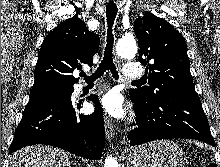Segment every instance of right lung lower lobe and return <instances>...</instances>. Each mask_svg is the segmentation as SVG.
I'll return each mask as SVG.
<instances>
[{"mask_svg":"<svg viewBox=\"0 0 220 167\" xmlns=\"http://www.w3.org/2000/svg\"><path fill=\"white\" fill-rule=\"evenodd\" d=\"M71 94L56 93L30 99L16 128L10 153L41 143L99 160L104 149L105 133L98 97H90L95 103L94 113L83 115L76 112L81 103L72 104Z\"/></svg>","mask_w":220,"mask_h":167,"instance_id":"1","label":"right lung lower lobe"}]
</instances>
